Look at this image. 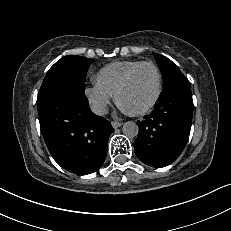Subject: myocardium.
<instances>
[{
    "instance_id": "f54148a6",
    "label": "myocardium",
    "mask_w": 231,
    "mask_h": 231,
    "mask_svg": "<svg viewBox=\"0 0 231 231\" xmlns=\"http://www.w3.org/2000/svg\"><path fill=\"white\" fill-rule=\"evenodd\" d=\"M151 67L155 73H156V77H157V88H156V93L152 99V101L145 106L144 108L137 110V111H133V112H128L131 115L134 116H140V115H144L146 113H148L149 111H151L156 104L158 103L161 94H162V90H163V77H162V73L160 71V68L153 62L150 61H143L141 63H139L138 65H136L134 68H132L128 74L125 76V78L123 79V81L120 83V85L118 86L116 92H115V101L117 103V105L120 106V96L122 94V92L128 87V85L130 84V82L132 81L134 75L142 68V67Z\"/></svg>"
}]
</instances>
